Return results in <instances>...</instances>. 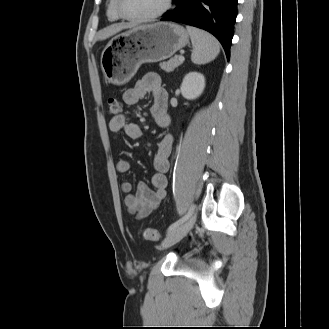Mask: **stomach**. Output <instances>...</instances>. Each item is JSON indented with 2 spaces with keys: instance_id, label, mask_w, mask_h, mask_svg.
<instances>
[{
  "instance_id": "stomach-1",
  "label": "stomach",
  "mask_w": 329,
  "mask_h": 329,
  "mask_svg": "<svg viewBox=\"0 0 329 329\" xmlns=\"http://www.w3.org/2000/svg\"><path fill=\"white\" fill-rule=\"evenodd\" d=\"M189 42L184 27L171 22L140 25L113 37L101 54V68L109 83L128 82L143 63L171 57Z\"/></svg>"
}]
</instances>
